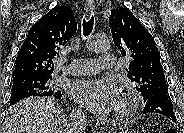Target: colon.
Masks as SVG:
<instances>
[{
  "mask_svg": "<svg viewBox=\"0 0 184 133\" xmlns=\"http://www.w3.org/2000/svg\"><path fill=\"white\" fill-rule=\"evenodd\" d=\"M166 133H175V131L173 129H169L165 131Z\"/></svg>",
  "mask_w": 184,
  "mask_h": 133,
  "instance_id": "1",
  "label": "colon"
}]
</instances>
